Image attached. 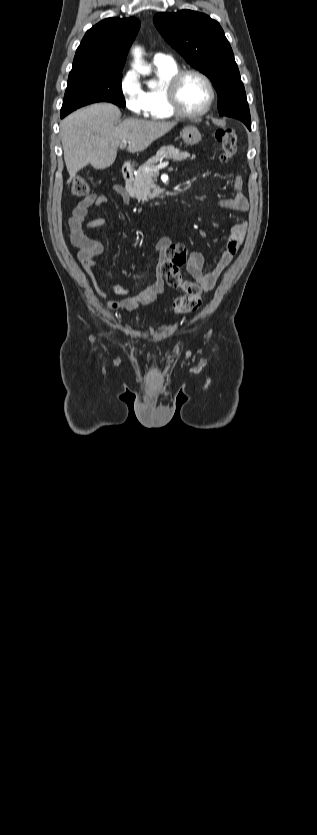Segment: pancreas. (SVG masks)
I'll list each match as a JSON object with an SVG mask.
<instances>
[{
    "label": "pancreas",
    "mask_w": 317,
    "mask_h": 835,
    "mask_svg": "<svg viewBox=\"0 0 317 835\" xmlns=\"http://www.w3.org/2000/svg\"><path fill=\"white\" fill-rule=\"evenodd\" d=\"M163 158L180 162L190 158V154L188 152H180L179 149H176L172 145L161 147L154 157L150 158L145 164L139 167L135 177L127 182L126 191L130 197L138 200H148L159 197L161 190L156 188V184L153 181V177L157 176L158 172H145V168L155 166V164L161 162Z\"/></svg>",
    "instance_id": "pancreas-1"
}]
</instances>
